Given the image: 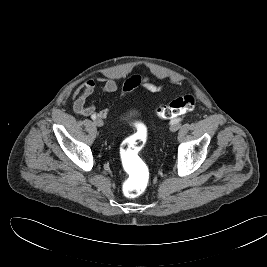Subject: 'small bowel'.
Listing matches in <instances>:
<instances>
[{"mask_svg": "<svg viewBox=\"0 0 267 267\" xmlns=\"http://www.w3.org/2000/svg\"><path fill=\"white\" fill-rule=\"evenodd\" d=\"M102 86L101 91L105 94L114 93L118 90V83L115 79L111 78H102ZM139 85H143L148 90L151 91H160L161 87L152 84L148 78L142 79L140 76L134 75L126 79L123 84L122 91L120 97L126 96L128 93L133 91ZM96 88V83L92 79L84 80L80 85H78L73 93V110L76 114L84 117L92 116L93 114H97L99 118H106L109 109L104 108L101 110H96L93 104H88V98L94 93Z\"/></svg>", "mask_w": 267, "mask_h": 267, "instance_id": "c3829d8e", "label": "small bowel"}]
</instances>
